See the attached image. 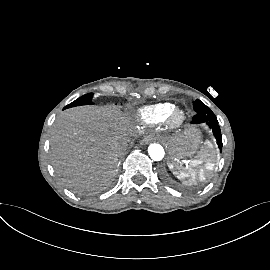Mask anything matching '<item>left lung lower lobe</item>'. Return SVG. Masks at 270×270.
Listing matches in <instances>:
<instances>
[{
    "label": "left lung lower lobe",
    "mask_w": 270,
    "mask_h": 270,
    "mask_svg": "<svg viewBox=\"0 0 270 270\" xmlns=\"http://www.w3.org/2000/svg\"><path fill=\"white\" fill-rule=\"evenodd\" d=\"M199 123H206L207 125H209V127L212 129L213 134L217 140L219 149L221 150L222 149V136H221V131L218 125L217 118L215 117V118L204 119L200 121Z\"/></svg>",
    "instance_id": "obj_1"
}]
</instances>
